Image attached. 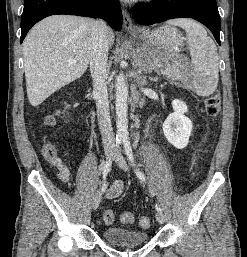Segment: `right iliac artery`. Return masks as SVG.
<instances>
[{
	"instance_id": "1",
	"label": "right iliac artery",
	"mask_w": 247,
	"mask_h": 257,
	"mask_svg": "<svg viewBox=\"0 0 247 257\" xmlns=\"http://www.w3.org/2000/svg\"><path fill=\"white\" fill-rule=\"evenodd\" d=\"M121 145V140L120 139H117L116 140V147L117 149L120 147ZM111 166H112V159H108L105 164H104V167H103V184H102V187H101V191L104 192L106 190V177H107V174L108 172L110 171L111 169Z\"/></svg>"
}]
</instances>
